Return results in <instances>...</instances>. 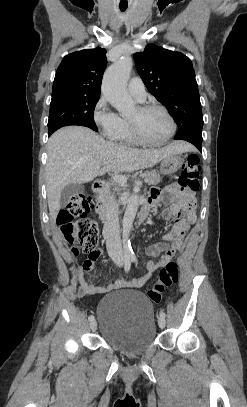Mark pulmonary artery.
<instances>
[{
  "label": "pulmonary artery",
  "mask_w": 247,
  "mask_h": 407,
  "mask_svg": "<svg viewBox=\"0 0 247 407\" xmlns=\"http://www.w3.org/2000/svg\"><path fill=\"white\" fill-rule=\"evenodd\" d=\"M128 91L138 102L146 99V90L143 81L140 78H133L128 84Z\"/></svg>",
  "instance_id": "pulmonary-artery-1"
}]
</instances>
